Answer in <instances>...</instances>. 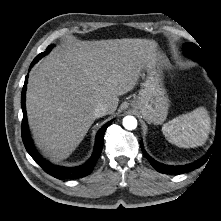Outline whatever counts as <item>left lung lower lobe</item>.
Segmentation results:
<instances>
[{
    "label": "left lung lower lobe",
    "instance_id": "0a47b994",
    "mask_svg": "<svg viewBox=\"0 0 221 221\" xmlns=\"http://www.w3.org/2000/svg\"><path fill=\"white\" fill-rule=\"evenodd\" d=\"M204 68L207 70V72L209 73L210 77L212 78V80L215 82L216 85H218V100H217V140L221 138V108H220V104H221V85L218 82V79L215 78L214 73L212 71V68L209 66V64L207 62H203L201 63ZM216 140V141H217ZM142 151L143 154L146 156V158L148 159V161L150 162V164L160 173H164V174H183V173H187L190 172L194 169L199 168L200 166H202L209 154L211 149L208 151V153L201 158L200 160L192 163V164H188V165H184V166H169V165H164L161 164L157 161H155L154 159H152L143 149L142 147Z\"/></svg>",
    "mask_w": 221,
    "mask_h": 221
}]
</instances>
